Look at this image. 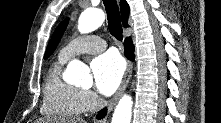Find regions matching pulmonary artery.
Wrapping results in <instances>:
<instances>
[{"label":"pulmonary artery","instance_id":"e3ab8cb5","mask_svg":"<svg viewBox=\"0 0 221 123\" xmlns=\"http://www.w3.org/2000/svg\"><path fill=\"white\" fill-rule=\"evenodd\" d=\"M106 48V42L95 35L78 37L66 44L59 52V58L69 60L70 58L83 54H96L102 52Z\"/></svg>","mask_w":221,"mask_h":123}]
</instances>
